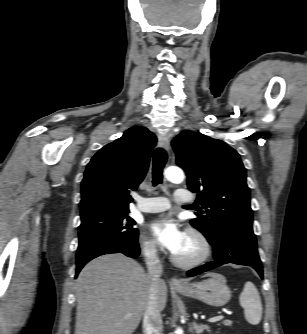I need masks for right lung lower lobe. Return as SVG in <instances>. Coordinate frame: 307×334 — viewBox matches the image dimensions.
<instances>
[{"label":"right lung lower lobe","instance_id":"obj_1","mask_svg":"<svg viewBox=\"0 0 307 334\" xmlns=\"http://www.w3.org/2000/svg\"><path fill=\"white\" fill-rule=\"evenodd\" d=\"M140 249H139V245L138 243H136L133 246H128L125 248H118V249H106V250H102L99 251L97 253H94L92 255H90L89 257L85 258L84 260H82L81 262L77 263V268H76V277L78 275V273L80 272V270L83 268V266L89 262L90 260L100 256V255H104V254H109V253H124L125 255L129 256V257H137L139 255Z\"/></svg>","mask_w":307,"mask_h":334}]
</instances>
